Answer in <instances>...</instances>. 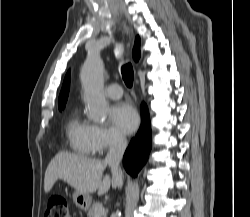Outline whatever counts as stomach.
I'll use <instances>...</instances> for the list:
<instances>
[{
  "label": "stomach",
  "instance_id": "1",
  "mask_svg": "<svg viewBox=\"0 0 250 217\" xmlns=\"http://www.w3.org/2000/svg\"><path fill=\"white\" fill-rule=\"evenodd\" d=\"M73 201L78 208L87 211L91 206L92 197L89 193H80L76 191L73 194Z\"/></svg>",
  "mask_w": 250,
  "mask_h": 217
}]
</instances>
